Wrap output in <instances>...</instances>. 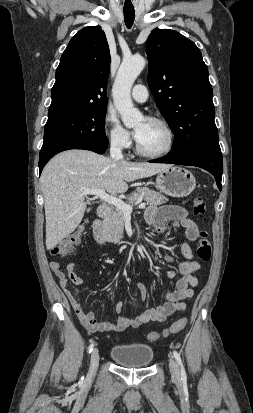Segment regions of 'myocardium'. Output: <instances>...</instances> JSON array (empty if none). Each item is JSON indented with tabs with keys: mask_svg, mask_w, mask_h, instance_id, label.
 I'll list each match as a JSON object with an SVG mask.
<instances>
[{
	"mask_svg": "<svg viewBox=\"0 0 253 413\" xmlns=\"http://www.w3.org/2000/svg\"><path fill=\"white\" fill-rule=\"evenodd\" d=\"M149 121H152L158 125H160L166 132L167 137H168V141L166 146L160 150V151H156V152H148L143 150L140 146L139 143L137 141V139L135 140V151L137 154L143 156V157H147V158H157V157H161L164 156L166 154H168L175 143V133L173 128L171 127V125L163 118L161 117H156V116H151L148 117Z\"/></svg>",
	"mask_w": 253,
	"mask_h": 413,
	"instance_id": "1",
	"label": "myocardium"
}]
</instances>
